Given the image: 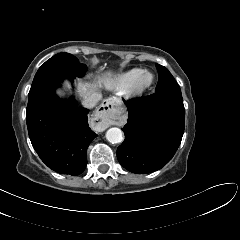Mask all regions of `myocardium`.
I'll return each mask as SVG.
<instances>
[{
  "instance_id": "1",
  "label": "myocardium",
  "mask_w": 240,
  "mask_h": 240,
  "mask_svg": "<svg viewBox=\"0 0 240 240\" xmlns=\"http://www.w3.org/2000/svg\"><path fill=\"white\" fill-rule=\"evenodd\" d=\"M149 76L150 80L145 83V77ZM155 82V76L150 71H145L129 88V95L133 98H138L144 95L148 90L152 88Z\"/></svg>"
}]
</instances>
